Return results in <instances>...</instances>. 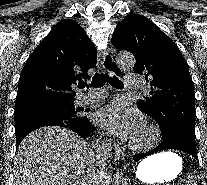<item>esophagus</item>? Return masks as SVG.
Masks as SVG:
<instances>
[{"mask_svg": "<svg viewBox=\"0 0 207 185\" xmlns=\"http://www.w3.org/2000/svg\"><path fill=\"white\" fill-rule=\"evenodd\" d=\"M114 55V50H106L103 54V66L106 67L109 71V76L114 77V76H120L122 74L123 68L118 67L117 63L114 62L116 61V56ZM119 157H124L125 155L122 152L120 148H115L114 149V158H115V164H118V158ZM125 162V161H124Z\"/></svg>", "mask_w": 207, "mask_h": 185, "instance_id": "obj_1", "label": "esophagus"}]
</instances>
